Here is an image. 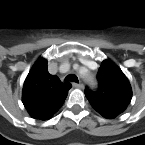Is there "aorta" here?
<instances>
[{"label": "aorta", "mask_w": 145, "mask_h": 145, "mask_svg": "<svg viewBox=\"0 0 145 145\" xmlns=\"http://www.w3.org/2000/svg\"><path fill=\"white\" fill-rule=\"evenodd\" d=\"M85 80L88 82V83H93L94 82V79L91 75L87 74L85 76Z\"/></svg>", "instance_id": "obj_1"}]
</instances>
